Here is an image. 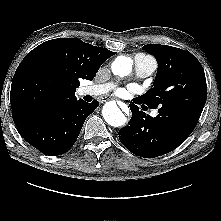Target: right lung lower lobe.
I'll return each instance as SVG.
<instances>
[{
  "mask_svg": "<svg viewBox=\"0 0 221 221\" xmlns=\"http://www.w3.org/2000/svg\"><path fill=\"white\" fill-rule=\"evenodd\" d=\"M99 106L94 100H75L64 106L31 114L16 124L23 138L40 152L56 156L76 142L85 119Z\"/></svg>",
  "mask_w": 221,
  "mask_h": 221,
  "instance_id": "obj_1",
  "label": "right lung lower lobe"
}]
</instances>
